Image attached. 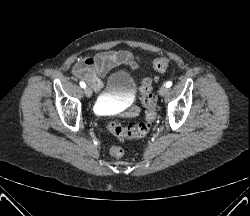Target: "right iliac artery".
I'll use <instances>...</instances> for the list:
<instances>
[{
    "label": "right iliac artery",
    "mask_w": 250,
    "mask_h": 216,
    "mask_svg": "<svg viewBox=\"0 0 250 216\" xmlns=\"http://www.w3.org/2000/svg\"><path fill=\"white\" fill-rule=\"evenodd\" d=\"M80 86L82 87V88H85L86 87V84L83 82V81H80Z\"/></svg>",
    "instance_id": "1"
}]
</instances>
